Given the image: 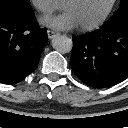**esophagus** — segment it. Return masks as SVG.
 Instances as JSON below:
<instances>
[{"label":"esophagus","mask_w":128,"mask_h":128,"mask_svg":"<svg viewBox=\"0 0 128 128\" xmlns=\"http://www.w3.org/2000/svg\"><path fill=\"white\" fill-rule=\"evenodd\" d=\"M58 33H56L55 31L52 30H47V35L49 39L54 38Z\"/></svg>","instance_id":"obj_1"}]
</instances>
